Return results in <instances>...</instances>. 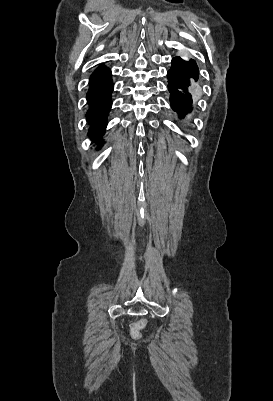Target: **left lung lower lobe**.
<instances>
[{"label": "left lung lower lobe", "mask_w": 273, "mask_h": 401, "mask_svg": "<svg viewBox=\"0 0 273 401\" xmlns=\"http://www.w3.org/2000/svg\"><path fill=\"white\" fill-rule=\"evenodd\" d=\"M168 89L172 109L184 118L192 108V96L188 92L190 80H198V67L195 60L186 61L177 56L172 59V66L167 72Z\"/></svg>", "instance_id": "left-lung-lower-lobe-1"}]
</instances>
